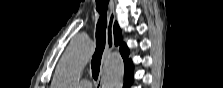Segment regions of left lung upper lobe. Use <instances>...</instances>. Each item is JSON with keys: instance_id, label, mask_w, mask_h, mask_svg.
Masks as SVG:
<instances>
[{"instance_id": "5c2ea615", "label": "left lung upper lobe", "mask_w": 223, "mask_h": 88, "mask_svg": "<svg viewBox=\"0 0 223 88\" xmlns=\"http://www.w3.org/2000/svg\"><path fill=\"white\" fill-rule=\"evenodd\" d=\"M114 41L115 45H120V52L126 64H132L130 60H128L129 50L125 43L122 42L121 30L117 23L114 24Z\"/></svg>"}]
</instances>
